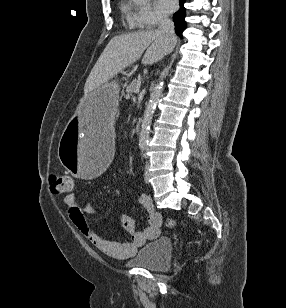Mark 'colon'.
I'll return each mask as SVG.
<instances>
[{
    "label": "colon",
    "mask_w": 286,
    "mask_h": 308,
    "mask_svg": "<svg viewBox=\"0 0 286 308\" xmlns=\"http://www.w3.org/2000/svg\"><path fill=\"white\" fill-rule=\"evenodd\" d=\"M51 190L55 194L71 193L74 188V182L69 175H52Z\"/></svg>",
    "instance_id": "colon-1"
}]
</instances>
